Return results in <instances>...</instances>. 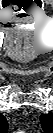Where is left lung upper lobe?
<instances>
[{
  "instance_id": "obj_1",
  "label": "left lung upper lobe",
  "mask_w": 53,
  "mask_h": 133,
  "mask_svg": "<svg viewBox=\"0 0 53 133\" xmlns=\"http://www.w3.org/2000/svg\"><path fill=\"white\" fill-rule=\"evenodd\" d=\"M41 125L42 127L44 128L46 126V123H45V116H41Z\"/></svg>"
}]
</instances>
